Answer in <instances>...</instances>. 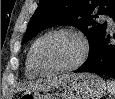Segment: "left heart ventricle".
I'll list each match as a JSON object with an SVG mask.
<instances>
[{
  "mask_svg": "<svg viewBox=\"0 0 115 99\" xmlns=\"http://www.w3.org/2000/svg\"><path fill=\"white\" fill-rule=\"evenodd\" d=\"M81 54L79 40L70 34H57L39 43L36 56L46 70L58 69L74 63Z\"/></svg>",
  "mask_w": 115,
  "mask_h": 99,
  "instance_id": "1",
  "label": "left heart ventricle"
}]
</instances>
